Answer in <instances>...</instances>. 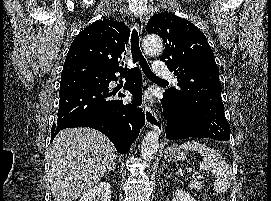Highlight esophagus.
Wrapping results in <instances>:
<instances>
[{
    "instance_id": "obj_1",
    "label": "esophagus",
    "mask_w": 271,
    "mask_h": 201,
    "mask_svg": "<svg viewBox=\"0 0 271 201\" xmlns=\"http://www.w3.org/2000/svg\"><path fill=\"white\" fill-rule=\"evenodd\" d=\"M133 24L138 30L139 34H142L143 31V18L140 14H134L132 17ZM146 86V83L144 84ZM143 112L145 115L146 123L149 127L154 129L157 133L161 134L163 132L162 123L157 115L155 109H153L150 103L147 100V92L146 89L143 91V104H142Z\"/></svg>"
}]
</instances>
